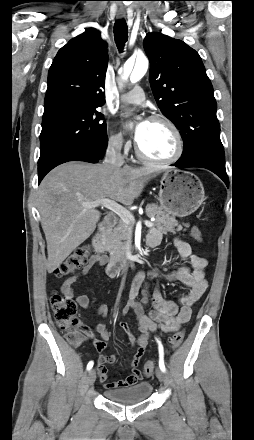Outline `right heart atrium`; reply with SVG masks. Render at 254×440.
<instances>
[{
    "instance_id": "d8ad5b80",
    "label": "right heart atrium",
    "mask_w": 254,
    "mask_h": 440,
    "mask_svg": "<svg viewBox=\"0 0 254 440\" xmlns=\"http://www.w3.org/2000/svg\"><path fill=\"white\" fill-rule=\"evenodd\" d=\"M108 145L115 151H122L125 153L131 148V143L119 132H113L109 135Z\"/></svg>"
}]
</instances>
